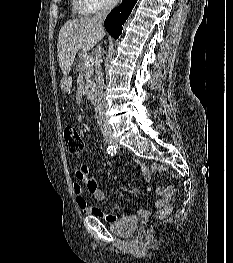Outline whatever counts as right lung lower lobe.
I'll return each instance as SVG.
<instances>
[{
	"label": "right lung lower lobe",
	"mask_w": 233,
	"mask_h": 263,
	"mask_svg": "<svg viewBox=\"0 0 233 263\" xmlns=\"http://www.w3.org/2000/svg\"><path fill=\"white\" fill-rule=\"evenodd\" d=\"M136 2L137 0H122L120 5L114 8L105 19V28L115 39L122 33V27Z\"/></svg>",
	"instance_id": "1"
}]
</instances>
